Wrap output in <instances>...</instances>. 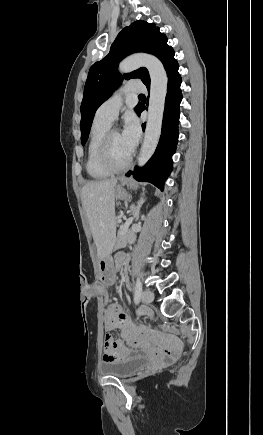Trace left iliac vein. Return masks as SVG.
Wrapping results in <instances>:
<instances>
[{"label": "left iliac vein", "instance_id": "4c4485c4", "mask_svg": "<svg viewBox=\"0 0 263 435\" xmlns=\"http://www.w3.org/2000/svg\"><path fill=\"white\" fill-rule=\"evenodd\" d=\"M141 300L144 303H151L154 300V294H153V292L150 291V290L143 291V293L141 295Z\"/></svg>", "mask_w": 263, "mask_h": 435}]
</instances>
